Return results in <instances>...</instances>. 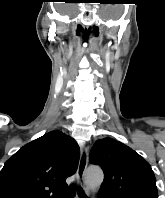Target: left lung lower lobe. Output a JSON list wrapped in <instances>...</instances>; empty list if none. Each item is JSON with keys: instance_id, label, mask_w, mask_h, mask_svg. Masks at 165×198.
Wrapping results in <instances>:
<instances>
[{"instance_id": "1", "label": "left lung lower lobe", "mask_w": 165, "mask_h": 198, "mask_svg": "<svg viewBox=\"0 0 165 198\" xmlns=\"http://www.w3.org/2000/svg\"><path fill=\"white\" fill-rule=\"evenodd\" d=\"M98 197L99 198H102V197H111V198H113L111 195H109V194H107V193H105L103 191H99Z\"/></svg>"}]
</instances>
